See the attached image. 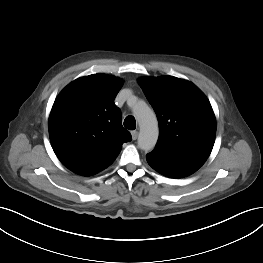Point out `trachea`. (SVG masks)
<instances>
[{"label": "trachea", "mask_w": 263, "mask_h": 263, "mask_svg": "<svg viewBox=\"0 0 263 263\" xmlns=\"http://www.w3.org/2000/svg\"><path fill=\"white\" fill-rule=\"evenodd\" d=\"M124 126L129 130H135L136 128L135 118L133 116H127L124 120Z\"/></svg>", "instance_id": "3493384b"}]
</instances>
